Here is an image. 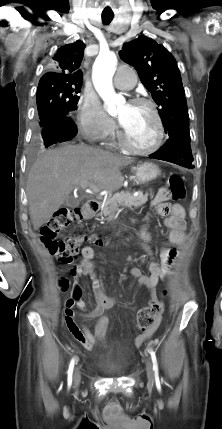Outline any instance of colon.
<instances>
[{
  "label": "colon",
  "mask_w": 222,
  "mask_h": 429,
  "mask_svg": "<svg viewBox=\"0 0 222 429\" xmlns=\"http://www.w3.org/2000/svg\"><path fill=\"white\" fill-rule=\"evenodd\" d=\"M183 179L177 174L169 177L168 187L161 190L164 199L182 200L185 197ZM82 212L79 209L64 208L57 211L54 216L42 227L41 239L49 253L64 264L71 263L78 255L80 246L84 241L99 244L96 236H84L58 239V235L69 225L80 220ZM67 287V281H62ZM164 312V303L159 299H151L148 305L139 310L137 314V327L146 331L157 325Z\"/></svg>",
  "instance_id": "obj_1"
}]
</instances>
